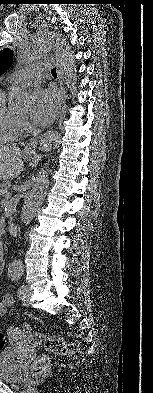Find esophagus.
Here are the masks:
<instances>
[{"label":"esophagus","mask_w":153,"mask_h":393,"mask_svg":"<svg viewBox=\"0 0 153 393\" xmlns=\"http://www.w3.org/2000/svg\"><path fill=\"white\" fill-rule=\"evenodd\" d=\"M59 86H60V90H61V94H62V105H65L67 96H66V92H65V88H64L63 82L60 79H59ZM34 141L35 142H31V143H29L25 147V151L27 153H33L35 151L36 144H37L36 143L37 139H35Z\"/></svg>","instance_id":"esophagus-1"}]
</instances>
